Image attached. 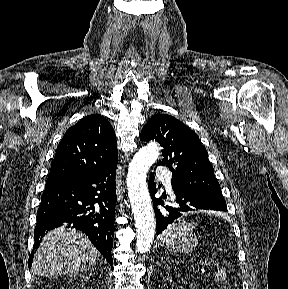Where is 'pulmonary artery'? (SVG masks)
I'll list each match as a JSON object with an SVG mask.
<instances>
[{
    "mask_svg": "<svg viewBox=\"0 0 288 289\" xmlns=\"http://www.w3.org/2000/svg\"><path fill=\"white\" fill-rule=\"evenodd\" d=\"M156 176L164 182L167 189L172 190V185H171L172 177H171V173L168 170L159 168L156 171Z\"/></svg>",
    "mask_w": 288,
    "mask_h": 289,
    "instance_id": "pulmonary-artery-1",
    "label": "pulmonary artery"
}]
</instances>
